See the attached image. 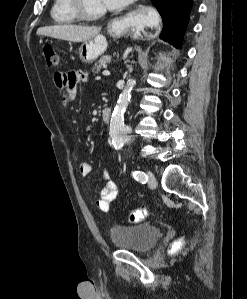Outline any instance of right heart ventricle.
Here are the masks:
<instances>
[{
	"mask_svg": "<svg viewBox=\"0 0 247 299\" xmlns=\"http://www.w3.org/2000/svg\"><path fill=\"white\" fill-rule=\"evenodd\" d=\"M50 15L56 24H73L79 20L71 7L70 0H53Z\"/></svg>",
	"mask_w": 247,
	"mask_h": 299,
	"instance_id": "e07e8e85",
	"label": "right heart ventricle"
}]
</instances>
